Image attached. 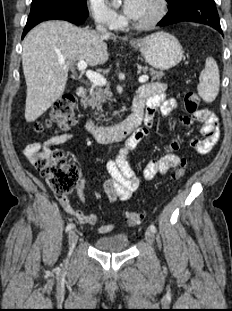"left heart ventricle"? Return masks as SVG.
<instances>
[{"label": "left heart ventricle", "instance_id": "left-heart-ventricle-1", "mask_svg": "<svg viewBox=\"0 0 232 311\" xmlns=\"http://www.w3.org/2000/svg\"><path fill=\"white\" fill-rule=\"evenodd\" d=\"M154 11H155L154 0H144L143 7L140 13L132 20L135 22L146 21L153 15Z\"/></svg>", "mask_w": 232, "mask_h": 311}]
</instances>
